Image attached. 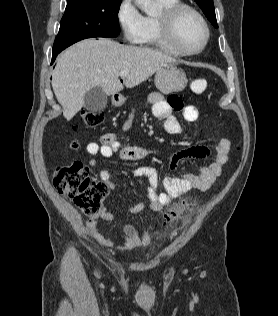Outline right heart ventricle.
<instances>
[{
    "label": "right heart ventricle",
    "mask_w": 278,
    "mask_h": 316,
    "mask_svg": "<svg viewBox=\"0 0 278 316\" xmlns=\"http://www.w3.org/2000/svg\"><path fill=\"white\" fill-rule=\"evenodd\" d=\"M158 2L160 3L162 9L165 10L177 4L179 0H158ZM159 17L160 14L156 16H144L143 30L138 43L144 46L161 49L172 55H183V53L178 51L164 36Z\"/></svg>",
    "instance_id": "right-heart-ventricle-1"
}]
</instances>
